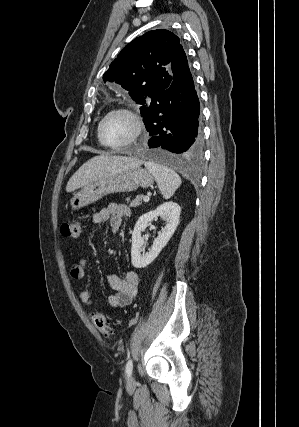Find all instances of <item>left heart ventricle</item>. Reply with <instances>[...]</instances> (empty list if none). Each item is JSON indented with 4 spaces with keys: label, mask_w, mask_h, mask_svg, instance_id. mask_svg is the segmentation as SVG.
<instances>
[{
    "label": "left heart ventricle",
    "mask_w": 299,
    "mask_h": 427,
    "mask_svg": "<svg viewBox=\"0 0 299 427\" xmlns=\"http://www.w3.org/2000/svg\"><path fill=\"white\" fill-rule=\"evenodd\" d=\"M133 124L124 114H113L102 125L101 136L105 143L118 145L126 142L133 134Z\"/></svg>",
    "instance_id": "obj_1"
}]
</instances>
